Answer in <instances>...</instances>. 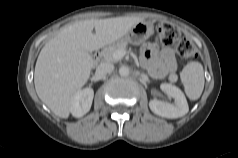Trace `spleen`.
<instances>
[{
    "label": "spleen",
    "instance_id": "spleen-1",
    "mask_svg": "<svg viewBox=\"0 0 238 158\" xmlns=\"http://www.w3.org/2000/svg\"><path fill=\"white\" fill-rule=\"evenodd\" d=\"M185 93L191 100L200 98L204 89V71L199 62L188 63L180 73Z\"/></svg>",
    "mask_w": 238,
    "mask_h": 158
}]
</instances>
